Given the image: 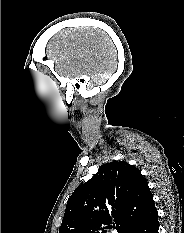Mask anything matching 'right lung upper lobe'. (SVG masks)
<instances>
[{
	"label": "right lung upper lobe",
	"mask_w": 184,
	"mask_h": 233,
	"mask_svg": "<svg viewBox=\"0 0 184 233\" xmlns=\"http://www.w3.org/2000/svg\"><path fill=\"white\" fill-rule=\"evenodd\" d=\"M153 204L138 168L124 161L106 163L70 196L59 233H106L112 220L122 233Z\"/></svg>",
	"instance_id": "right-lung-upper-lobe-1"
}]
</instances>
